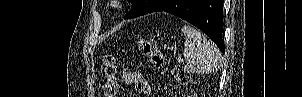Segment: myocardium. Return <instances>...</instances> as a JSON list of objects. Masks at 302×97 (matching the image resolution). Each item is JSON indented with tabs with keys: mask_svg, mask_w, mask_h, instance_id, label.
Instances as JSON below:
<instances>
[{
	"mask_svg": "<svg viewBox=\"0 0 302 97\" xmlns=\"http://www.w3.org/2000/svg\"><path fill=\"white\" fill-rule=\"evenodd\" d=\"M120 2L121 1H118V0H113L112 1V4H113V6H114L115 9H120L121 8Z\"/></svg>",
	"mask_w": 302,
	"mask_h": 97,
	"instance_id": "f54148a6",
	"label": "myocardium"
}]
</instances>
